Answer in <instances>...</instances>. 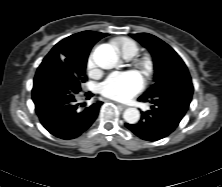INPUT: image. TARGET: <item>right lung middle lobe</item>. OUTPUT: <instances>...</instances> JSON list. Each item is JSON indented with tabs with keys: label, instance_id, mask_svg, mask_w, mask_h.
<instances>
[{
	"label": "right lung middle lobe",
	"instance_id": "obj_1",
	"mask_svg": "<svg viewBox=\"0 0 222 187\" xmlns=\"http://www.w3.org/2000/svg\"><path fill=\"white\" fill-rule=\"evenodd\" d=\"M57 60L61 61L71 71L79 83L86 81L85 70L87 56H79L77 54L46 56L39 67Z\"/></svg>",
	"mask_w": 222,
	"mask_h": 187
}]
</instances>
